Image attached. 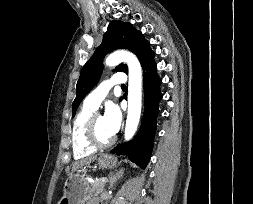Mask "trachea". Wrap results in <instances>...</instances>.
Masks as SVG:
<instances>
[{
  "instance_id": "3493384b",
  "label": "trachea",
  "mask_w": 253,
  "mask_h": 204,
  "mask_svg": "<svg viewBox=\"0 0 253 204\" xmlns=\"http://www.w3.org/2000/svg\"><path fill=\"white\" fill-rule=\"evenodd\" d=\"M122 87H126V85H122Z\"/></svg>"
}]
</instances>
